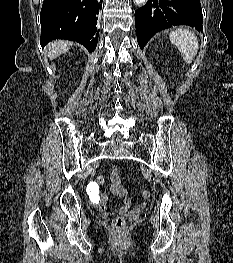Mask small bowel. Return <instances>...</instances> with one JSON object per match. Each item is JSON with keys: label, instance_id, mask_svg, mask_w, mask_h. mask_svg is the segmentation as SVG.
Segmentation results:
<instances>
[{"label": "small bowel", "instance_id": "1", "mask_svg": "<svg viewBox=\"0 0 233 263\" xmlns=\"http://www.w3.org/2000/svg\"><path fill=\"white\" fill-rule=\"evenodd\" d=\"M111 181H112V186H111V190L112 193L118 197H121L122 200V204L120 207H118L116 209V211L118 212H126L130 209L131 206V201L128 197H126V190L124 188V186L122 185L121 179L116 171L115 168L112 169L111 172ZM96 182H98V184H102L104 182V179L102 177H98ZM100 201L99 202H94L96 204V206L100 209V210H106L107 208V197L105 195H99Z\"/></svg>", "mask_w": 233, "mask_h": 263}]
</instances>
